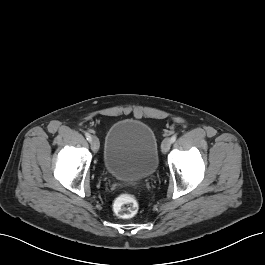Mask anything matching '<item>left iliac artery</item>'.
<instances>
[{
  "instance_id": "left-iliac-artery-1",
  "label": "left iliac artery",
  "mask_w": 265,
  "mask_h": 265,
  "mask_svg": "<svg viewBox=\"0 0 265 265\" xmlns=\"http://www.w3.org/2000/svg\"><path fill=\"white\" fill-rule=\"evenodd\" d=\"M177 139V135H173L170 140H171V143L175 142Z\"/></svg>"
}]
</instances>
